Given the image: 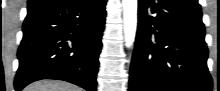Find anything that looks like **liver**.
<instances>
[{
  "label": "liver",
  "instance_id": "liver-1",
  "mask_svg": "<svg viewBox=\"0 0 220 91\" xmlns=\"http://www.w3.org/2000/svg\"><path fill=\"white\" fill-rule=\"evenodd\" d=\"M24 91H81L67 82L43 80L28 85Z\"/></svg>",
  "mask_w": 220,
  "mask_h": 91
}]
</instances>
